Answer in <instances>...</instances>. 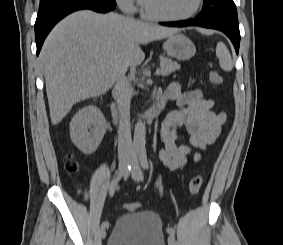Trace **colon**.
<instances>
[{
	"label": "colon",
	"mask_w": 283,
	"mask_h": 245,
	"mask_svg": "<svg viewBox=\"0 0 283 245\" xmlns=\"http://www.w3.org/2000/svg\"><path fill=\"white\" fill-rule=\"evenodd\" d=\"M209 80L213 85H221L223 83V78L221 74L216 71H212L209 75ZM66 168L69 172L74 173L77 171L78 166L71 156H69L66 164ZM202 176L197 174L193 176L188 184V190L191 194L196 195L200 192L202 188ZM124 207L130 212L138 210V205L136 203H126Z\"/></svg>",
	"instance_id": "1"
}]
</instances>
